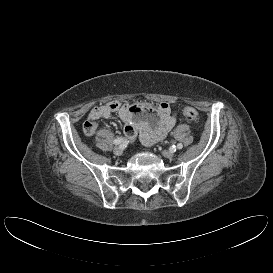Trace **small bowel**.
I'll list each match as a JSON object with an SVG mask.
<instances>
[{
  "label": "small bowel",
  "instance_id": "obj_1",
  "mask_svg": "<svg viewBox=\"0 0 273 273\" xmlns=\"http://www.w3.org/2000/svg\"><path fill=\"white\" fill-rule=\"evenodd\" d=\"M117 114L124 122V133L133 140L139 136L140 141L151 146L166 137L176 123L174 113L166 102L152 107L147 103H123L109 101L94 107L83 125V132L87 137L93 136L100 119L110 118Z\"/></svg>",
  "mask_w": 273,
  "mask_h": 273
}]
</instances>
